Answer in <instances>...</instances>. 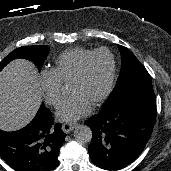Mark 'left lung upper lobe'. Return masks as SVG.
<instances>
[{
	"label": "left lung upper lobe",
	"instance_id": "5c2ea615",
	"mask_svg": "<svg viewBox=\"0 0 171 171\" xmlns=\"http://www.w3.org/2000/svg\"><path fill=\"white\" fill-rule=\"evenodd\" d=\"M117 46L122 57L120 75L102 110L131 96L155 97L151 77L145 67L129 49Z\"/></svg>",
	"mask_w": 171,
	"mask_h": 171
}]
</instances>
